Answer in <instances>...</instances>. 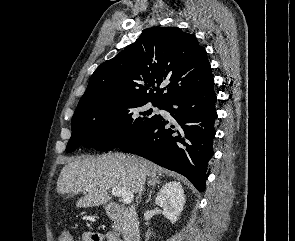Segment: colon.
<instances>
[{
	"mask_svg": "<svg viewBox=\"0 0 295 241\" xmlns=\"http://www.w3.org/2000/svg\"><path fill=\"white\" fill-rule=\"evenodd\" d=\"M59 241H74V238L69 231H63L60 234Z\"/></svg>",
	"mask_w": 295,
	"mask_h": 241,
	"instance_id": "obj_1",
	"label": "colon"
}]
</instances>
